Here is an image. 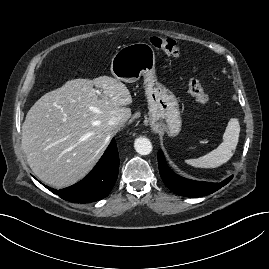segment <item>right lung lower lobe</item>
Segmentation results:
<instances>
[{
    "mask_svg": "<svg viewBox=\"0 0 269 269\" xmlns=\"http://www.w3.org/2000/svg\"><path fill=\"white\" fill-rule=\"evenodd\" d=\"M118 171L119 155L116 141L112 139L99 162L83 180L61 190L45 187L64 200L90 203L108 196L116 182Z\"/></svg>",
    "mask_w": 269,
    "mask_h": 269,
    "instance_id": "obj_1",
    "label": "right lung lower lobe"
}]
</instances>
